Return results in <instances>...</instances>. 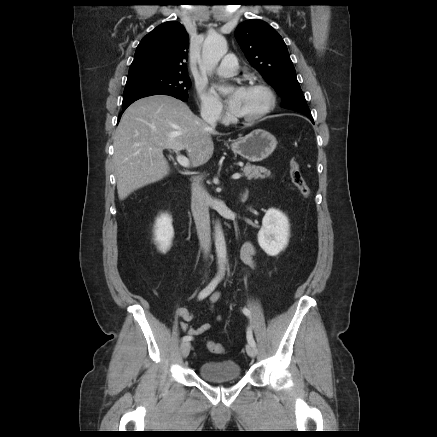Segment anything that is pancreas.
<instances>
[{"mask_svg":"<svg viewBox=\"0 0 437 437\" xmlns=\"http://www.w3.org/2000/svg\"><path fill=\"white\" fill-rule=\"evenodd\" d=\"M244 175L249 179H264L271 176V172L262 166H255L251 164H246L242 168Z\"/></svg>","mask_w":437,"mask_h":437,"instance_id":"1","label":"pancreas"}]
</instances>
